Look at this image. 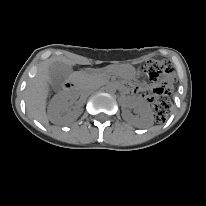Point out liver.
<instances>
[{"mask_svg": "<svg viewBox=\"0 0 206 206\" xmlns=\"http://www.w3.org/2000/svg\"><path fill=\"white\" fill-rule=\"evenodd\" d=\"M55 62L73 65L74 62L65 57H52L40 64L35 76L28 82L25 91L26 109L29 116L42 124H47L49 117L46 114L47 96L49 93V67ZM81 113L72 111L56 114L51 120L57 125H67L75 121Z\"/></svg>", "mask_w": 206, "mask_h": 206, "instance_id": "1", "label": "liver"}]
</instances>
